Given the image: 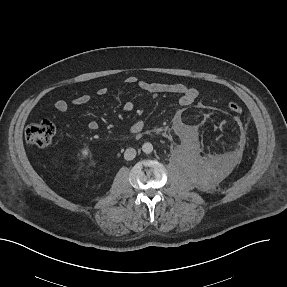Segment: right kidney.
<instances>
[{"instance_id":"1","label":"right kidney","mask_w":287,"mask_h":287,"mask_svg":"<svg viewBox=\"0 0 287 287\" xmlns=\"http://www.w3.org/2000/svg\"><path fill=\"white\" fill-rule=\"evenodd\" d=\"M80 153H81V156H82L83 158H87V157L90 155V150H89L88 146L82 148V149L80 150Z\"/></svg>"}]
</instances>
